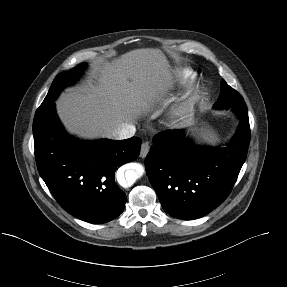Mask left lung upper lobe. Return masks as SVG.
<instances>
[{"label":"left lung upper lobe","mask_w":287,"mask_h":287,"mask_svg":"<svg viewBox=\"0 0 287 287\" xmlns=\"http://www.w3.org/2000/svg\"><path fill=\"white\" fill-rule=\"evenodd\" d=\"M214 108H231L235 112H238L246 109L247 107L242 96L232 87H230L224 80H222L221 94L219 95L217 102L214 104Z\"/></svg>","instance_id":"obj_1"}]
</instances>
